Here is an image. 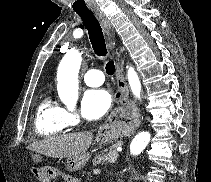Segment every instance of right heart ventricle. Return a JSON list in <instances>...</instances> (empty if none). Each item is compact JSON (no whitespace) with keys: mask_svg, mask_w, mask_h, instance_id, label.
<instances>
[{"mask_svg":"<svg viewBox=\"0 0 211 182\" xmlns=\"http://www.w3.org/2000/svg\"><path fill=\"white\" fill-rule=\"evenodd\" d=\"M67 127L66 110L51 96L44 97L36 110L35 131L37 135L50 138L63 133Z\"/></svg>","mask_w":211,"mask_h":182,"instance_id":"right-heart-ventricle-1","label":"right heart ventricle"}]
</instances>
